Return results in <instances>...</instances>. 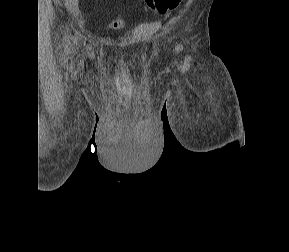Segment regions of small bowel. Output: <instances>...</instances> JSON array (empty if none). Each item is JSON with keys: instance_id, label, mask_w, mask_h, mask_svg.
Returning a JSON list of instances; mask_svg holds the SVG:
<instances>
[{"instance_id": "1", "label": "small bowel", "mask_w": 289, "mask_h": 252, "mask_svg": "<svg viewBox=\"0 0 289 252\" xmlns=\"http://www.w3.org/2000/svg\"><path fill=\"white\" fill-rule=\"evenodd\" d=\"M66 9L73 13L78 14L80 12V0H63Z\"/></svg>"}]
</instances>
